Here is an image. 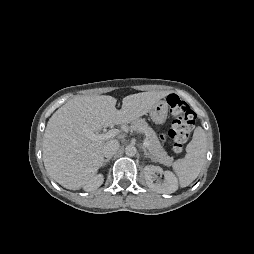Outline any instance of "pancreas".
I'll return each instance as SVG.
<instances>
[{"label":"pancreas","instance_id":"pancreas-1","mask_svg":"<svg viewBox=\"0 0 254 254\" xmlns=\"http://www.w3.org/2000/svg\"><path fill=\"white\" fill-rule=\"evenodd\" d=\"M130 129L144 133L149 146L147 147L150 155L156 162H160L164 165L170 166L173 162V157H169L165 152L164 148L161 146L160 141L157 137V134L154 130L148 125L144 119H135L131 122Z\"/></svg>","mask_w":254,"mask_h":254}]
</instances>
